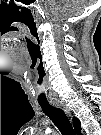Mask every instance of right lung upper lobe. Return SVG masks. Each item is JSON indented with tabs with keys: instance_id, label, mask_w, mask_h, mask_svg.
Here are the masks:
<instances>
[{
	"instance_id": "cb5924a9",
	"label": "right lung upper lobe",
	"mask_w": 101,
	"mask_h": 135,
	"mask_svg": "<svg viewBox=\"0 0 101 135\" xmlns=\"http://www.w3.org/2000/svg\"><path fill=\"white\" fill-rule=\"evenodd\" d=\"M73 125H74L76 133H80V131H81V124H80L79 119L74 118L73 119Z\"/></svg>"
}]
</instances>
